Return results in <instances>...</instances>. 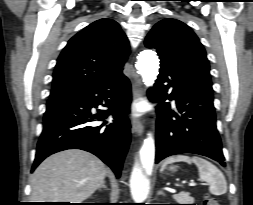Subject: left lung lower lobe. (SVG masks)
I'll return each instance as SVG.
<instances>
[{"label": "left lung lower lobe", "mask_w": 253, "mask_h": 205, "mask_svg": "<svg viewBox=\"0 0 253 205\" xmlns=\"http://www.w3.org/2000/svg\"><path fill=\"white\" fill-rule=\"evenodd\" d=\"M149 94L151 100L159 102L156 107V163L171 155L195 153L225 166L216 128L213 91L174 63L160 59V73ZM166 99L176 101V111L164 102Z\"/></svg>", "instance_id": "1"}]
</instances>
